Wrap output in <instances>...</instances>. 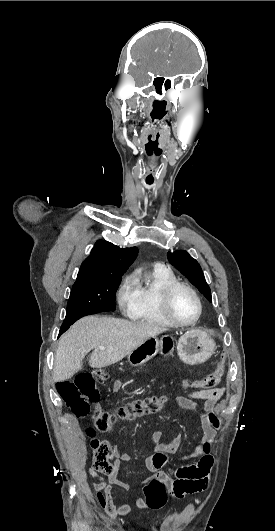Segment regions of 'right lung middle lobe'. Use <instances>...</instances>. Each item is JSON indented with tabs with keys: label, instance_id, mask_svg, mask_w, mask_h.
<instances>
[{
	"label": "right lung middle lobe",
	"instance_id": "1",
	"mask_svg": "<svg viewBox=\"0 0 275 531\" xmlns=\"http://www.w3.org/2000/svg\"><path fill=\"white\" fill-rule=\"evenodd\" d=\"M121 276L89 277L77 279L67 304L61 329L69 328L79 318L115 310L116 291Z\"/></svg>",
	"mask_w": 275,
	"mask_h": 531
}]
</instances>
